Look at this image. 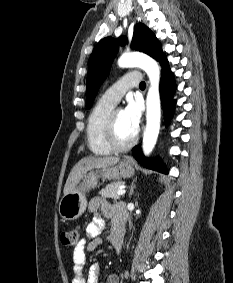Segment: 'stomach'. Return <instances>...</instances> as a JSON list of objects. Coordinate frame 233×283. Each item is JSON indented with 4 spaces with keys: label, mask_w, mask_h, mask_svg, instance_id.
I'll use <instances>...</instances> for the list:
<instances>
[{
    "label": "stomach",
    "mask_w": 233,
    "mask_h": 283,
    "mask_svg": "<svg viewBox=\"0 0 233 283\" xmlns=\"http://www.w3.org/2000/svg\"><path fill=\"white\" fill-rule=\"evenodd\" d=\"M134 174V167L128 160L121 161L118 165L106 167L101 170H89L79 186L72 192L64 195L59 203V214L64 220H75L86 210V193L95 188L101 177L108 180L130 178Z\"/></svg>",
    "instance_id": "obj_1"
}]
</instances>
